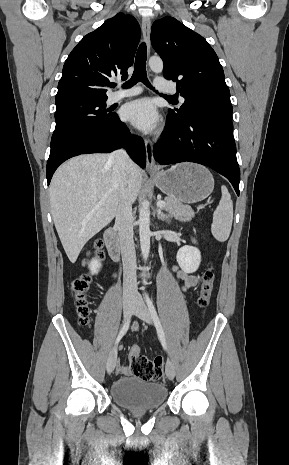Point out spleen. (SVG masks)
Here are the masks:
<instances>
[{"mask_svg": "<svg viewBox=\"0 0 289 465\" xmlns=\"http://www.w3.org/2000/svg\"><path fill=\"white\" fill-rule=\"evenodd\" d=\"M222 197L213 213L212 235L219 242L229 238L233 222V202L226 186H221Z\"/></svg>", "mask_w": 289, "mask_h": 465, "instance_id": "1", "label": "spleen"}]
</instances>
